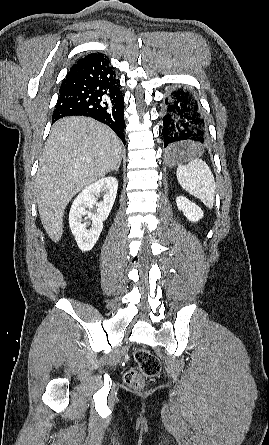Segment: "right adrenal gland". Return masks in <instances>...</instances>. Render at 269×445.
<instances>
[{
  "instance_id": "1",
  "label": "right adrenal gland",
  "mask_w": 269,
  "mask_h": 445,
  "mask_svg": "<svg viewBox=\"0 0 269 445\" xmlns=\"http://www.w3.org/2000/svg\"><path fill=\"white\" fill-rule=\"evenodd\" d=\"M120 164L115 168V171L118 172ZM114 171V170H113Z\"/></svg>"
}]
</instances>
